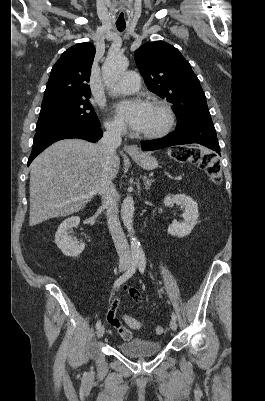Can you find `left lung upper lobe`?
<instances>
[{
  "mask_svg": "<svg viewBox=\"0 0 265 401\" xmlns=\"http://www.w3.org/2000/svg\"><path fill=\"white\" fill-rule=\"evenodd\" d=\"M134 58L148 89L172 103L177 125L210 116L197 76L174 46L163 41L146 43Z\"/></svg>",
  "mask_w": 265,
  "mask_h": 401,
  "instance_id": "left-lung-upper-lobe-1",
  "label": "left lung upper lobe"
}]
</instances>
